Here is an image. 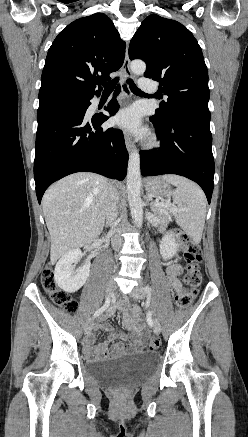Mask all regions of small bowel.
<instances>
[{"mask_svg": "<svg viewBox=\"0 0 248 437\" xmlns=\"http://www.w3.org/2000/svg\"><path fill=\"white\" fill-rule=\"evenodd\" d=\"M168 276V284L172 287L176 293L181 291V284L178 279V275L181 272V266L179 264H170L167 269ZM114 313V310L111 308L108 310L106 316H111ZM126 326L133 330V334L131 339H128L127 336L113 328H111L107 324H101L100 327L109 331V341L115 339H121L127 342H118L109 349V342H104L101 344L94 345V337L92 333H88L84 339V350L85 354L88 358L93 360H101L108 356L117 355L124 352H139L144 347L143 337L145 335V331L142 327L136 328L135 324L128 320Z\"/></svg>", "mask_w": 248, "mask_h": 437, "instance_id": "small-bowel-1", "label": "small bowel"}]
</instances>
